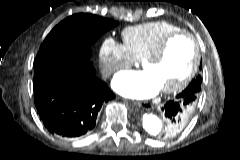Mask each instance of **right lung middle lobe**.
<instances>
[{
	"label": "right lung middle lobe",
	"instance_id": "1",
	"mask_svg": "<svg viewBox=\"0 0 240 160\" xmlns=\"http://www.w3.org/2000/svg\"><path fill=\"white\" fill-rule=\"evenodd\" d=\"M118 22L92 14H75L57 24L46 36L36 56L34 69L41 64L62 59L84 68L92 67L91 45Z\"/></svg>",
	"mask_w": 240,
	"mask_h": 160
}]
</instances>
